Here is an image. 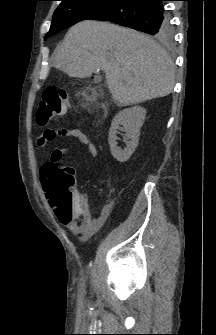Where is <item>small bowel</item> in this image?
Segmentation results:
<instances>
[{"label": "small bowel", "mask_w": 216, "mask_h": 335, "mask_svg": "<svg viewBox=\"0 0 216 335\" xmlns=\"http://www.w3.org/2000/svg\"><path fill=\"white\" fill-rule=\"evenodd\" d=\"M62 137H73L77 139L80 143L86 146L88 152L91 156L95 157L97 155V149L94 143L89 139V137L80 129H58V130H48L43 136L37 139L39 146H44L47 143ZM62 158V152L59 150L54 151L49 160L42 166L40 172V181L43 190L46 194H49L51 187L48 185L51 179V167L49 170H44V166L48 163H52L54 166L58 165ZM52 200V199H51ZM74 200L76 202L75 210L66 218H62L61 209L58 208L56 203L52 204L56 206V216L59 221L71 232L79 234L82 240H87L92 234L99 230L105 222L102 216L93 218L90 213L89 203L87 195L81 191L74 192ZM79 220H81L79 222Z\"/></svg>", "instance_id": "1"}]
</instances>
